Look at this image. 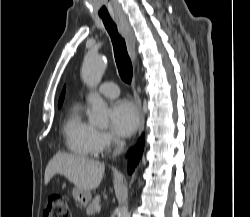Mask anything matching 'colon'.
I'll list each match as a JSON object with an SVG mask.
<instances>
[{
    "label": "colon",
    "mask_w": 250,
    "mask_h": 217,
    "mask_svg": "<svg viewBox=\"0 0 250 217\" xmlns=\"http://www.w3.org/2000/svg\"><path fill=\"white\" fill-rule=\"evenodd\" d=\"M43 217H70L65 197L61 194H52L45 206Z\"/></svg>",
    "instance_id": "1"
}]
</instances>
